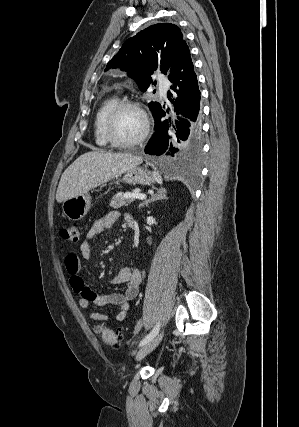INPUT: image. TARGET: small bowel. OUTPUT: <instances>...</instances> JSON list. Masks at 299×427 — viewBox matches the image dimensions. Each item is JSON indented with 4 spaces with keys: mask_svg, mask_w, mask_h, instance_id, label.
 <instances>
[{
    "mask_svg": "<svg viewBox=\"0 0 299 427\" xmlns=\"http://www.w3.org/2000/svg\"><path fill=\"white\" fill-rule=\"evenodd\" d=\"M130 215L126 216V220ZM119 218L118 211H110L93 223L89 229L86 240L82 243L80 250L81 256L87 259L90 256L91 242L97 236L109 230ZM65 267L70 276V284L72 289L79 294L80 307L85 311L87 319L92 321H122L132 301L138 294L141 283V272L139 269L126 266L112 279L115 284H125V291L97 293L93 291L80 275L82 263L81 258L76 253H69L65 257ZM94 304L98 307H104L110 304L118 307L117 312L107 313L102 311H91L90 305Z\"/></svg>",
    "mask_w": 299,
    "mask_h": 427,
    "instance_id": "obj_1",
    "label": "small bowel"
}]
</instances>
